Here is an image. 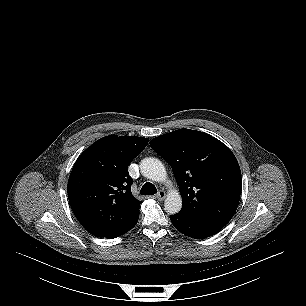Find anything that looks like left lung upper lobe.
<instances>
[{
  "label": "left lung upper lobe",
  "instance_id": "5c2ea615",
  "mask_svg": "<svg viewBox=\"0 0 306 306\" xmlns=\"http://www.w3.org/2000/svg\"><path fill=\"white\" fill-rule=\"evenodd\" d=\"M172 167L183 200L179 213L227 224L241 194V171L232 151L207 133L179 129L150 141Z\"/></svg>",
  "mask_w": 306,
  "mask_h": 306
}]
</instances>
